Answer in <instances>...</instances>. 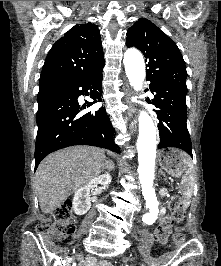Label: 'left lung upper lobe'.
Returning <instances> with one entry per match:
<instances>
[{"label": "left lung upper lobe", "mask_w": 221, "mask_h": 266, "mask_svg": "<svg viewBox=\"0 0 221 266\" xmlns=\"http://www.w3.org/2000/svg\"><path fill=\"white\" fill-rule=\"evenodd\" d=\"M127 47L138 48L146 58V80L187 93L184 59L175 42L151 21L140 18L127 31Z\"/></svg>", "instance_id": "5c2ea615"}]
</instances>
